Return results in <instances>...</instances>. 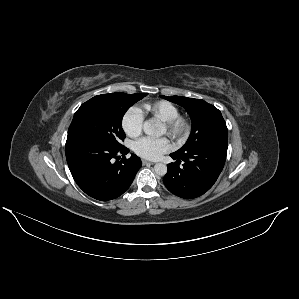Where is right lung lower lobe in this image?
<instances>
[{
    "label": "right lung lower lobe",
    "instance_id": "obj_1",
    "mask_svg": "<svg viewBox=\"0 0 299 299\" xmlns=\"http://www.w3.org/2000/svg\"><path fill=\"white\" fill-rule=\"evenodd\" d=\"M125 146L91 138L66 141L65 153L77 185L90 197L108 201L119 197L131 185L142 166L138 156L126 159ZM120 155H122L121 160Z\"/></svg>",
    "mask_w": 299,
    "mask_h": 299
}]
</instances>
